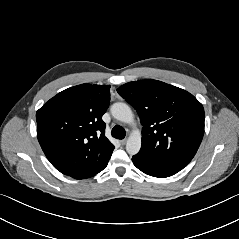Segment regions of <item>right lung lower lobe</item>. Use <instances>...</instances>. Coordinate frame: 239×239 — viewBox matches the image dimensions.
Instances as JSON below:
<instances>
[{
  "label": "right lung lower lobe",
  "mask_w": 239,
  "mask_h": 239,
  "mask_svg": "<svg viewBox=\"0 0 239 239\" xmlns=\"http://www.w3.org/2000/svg\"><path fill=\"white\" fill-rule=\"evenodd\" d=\"M107 164H108V163H107ZM107 164H106V166H107ZM106 166H105V167H106ZM105 167H104V168H105ZM104 168H103V169H104ZM103 169H102V170H103ZM102 170H101V171H102ZM97 173H99V172H97ZM97 173H96V174H97ZM94 175H95V174H94ZM94 175H93V176H94ZM91 177H92V176H91Z\"/></svg>",
  "instance_id": "obj_1"
}]
</instances>
